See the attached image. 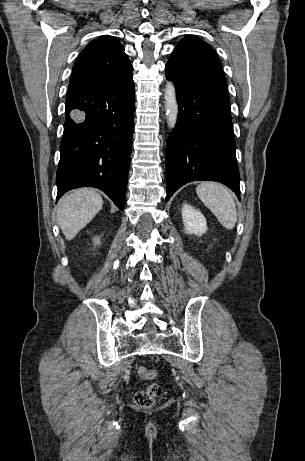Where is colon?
<instances>
[{
    "instance_id": "1",
    "label": "colon",
    "mask_w": 305,
    "mask_h": 461,
    "mask_svg": "<svg viewBox=\"0 0 305 461\" xmlns=\"http://www.w3.org/2000/svg\"><path fill=\"white\" fill-rule=\"evenodd\" d=\"M137 373L140 378L145 380H152L157 376L155 370L146 367H139ZM161 394V386L154 382L149 384L144 390L138 391L135 394L134 401L138 407L149 409L154 406L157 398H159Z\"/></svg>"
}]
</instances>
